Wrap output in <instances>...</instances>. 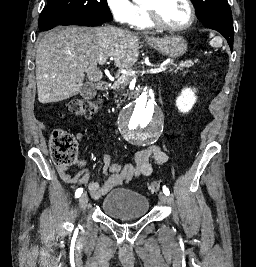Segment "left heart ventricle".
Wrapping results in <instances>:
<instances>
[{
  "label": "left heart ventricle",
  "instance_id": "obj_1",
  "mask_svg": "<svg viewBox=\"0 0 256 267\" xmlns=\"http://www.w3.org/2000/svg\"><path fill=\"white\" fill-rule=\"evenodd\" d=\"M153 6V21L143 20L144 29H150L154 24L181 26L185 24L190 16L189 9L181 0H165L160 2L150 1Z\"/></svg>",
  "mask_w": 256,
  "mask_h": 267
}]
</instances>
